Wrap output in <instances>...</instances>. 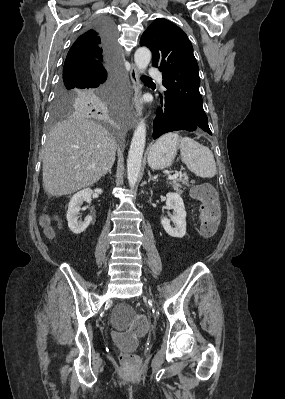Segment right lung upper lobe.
Wrapping results in <instances>:
<instances>
[{
	"instance_id": "cb5924a9",
	"label": "right lung upper lobe",
	"mask_w": 285,
	"mask_h": 399,
	"mask_svg": "<svg viewBox=\"0 0 285 399\" xmlns=\"http://www.w3.org/2000/svg\"><path fill=\"white\" fill-rule=\"evenodd\" d=\"M103 60L104 48L101 36L96 29L91 28L79 36L70 48L63 71L83 63L101 65Z\"/></svg>"
}]
</instances>
